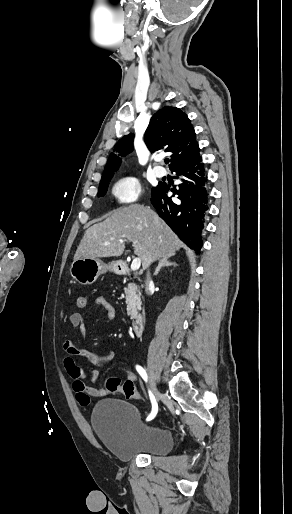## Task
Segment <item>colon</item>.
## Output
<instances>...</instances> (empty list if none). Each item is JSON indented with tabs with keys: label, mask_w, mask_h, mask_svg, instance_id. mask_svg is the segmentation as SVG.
Listing matches in <instances>:
<instances>
[{
	"label": "colon",
	"mask_w": 292,
	"mask_h": 514,
	"mask_svg": "<svg viewBox=\"0 0 292 514\" xmlns=\"http://www.w3.org/2000/svg\"><path fill=\"white\" fill-rule=\"evenodd\" d=\"M87 297L86 294L80 293L77 295L74 308L75 310H82L86 307ZM104 386L111 392L120 393L124 395L126 399H135L142 401L143 398L136 392V387L134 384H124L121 380L115 377H109L105 380Z\"/></svg>",
	"instance_id": "obj_1"
}]
</instances>
